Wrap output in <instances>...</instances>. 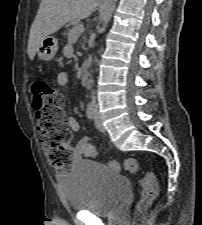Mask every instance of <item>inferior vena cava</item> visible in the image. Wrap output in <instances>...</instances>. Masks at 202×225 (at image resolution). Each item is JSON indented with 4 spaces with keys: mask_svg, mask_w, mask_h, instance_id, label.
Instances as JSON below:
<instances>
[{
    "mask_svg": "<svg viewBox=\"0 0 202 225\" xmlns=\"http://www.w3.org/2000/svg\"><path fill=\"white\" fill-rule=\"evenodd\" d=\"M92 102L95 103V97L92 95Z\"/></svg>",
    "mask_w": 202,
    "mask_h": 225,
    "instance_id": "obj_1",
    "label": "inferior vena cava"
}]
</instances>
